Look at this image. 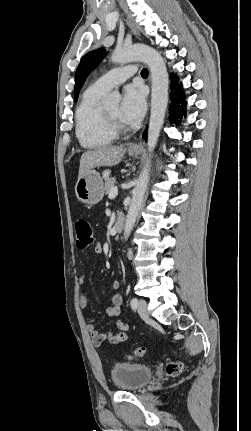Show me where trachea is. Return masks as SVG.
<instances>
[{"instance_id":"1","label":"trachea","mask_w":251,"mask_h":431,"mask_svg":"<svg viewBox=\"0 0 251 431\" xmlns=\"http://www.w3.org/2000/svg\"><path fill=\"white\" fill-rule=\"evenodd\" d=\"M141 75H142V76H146V75H148V69H146V68L142 69V71H141Z\"/></svg>"}]
</instances>
